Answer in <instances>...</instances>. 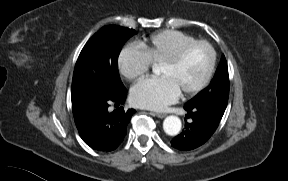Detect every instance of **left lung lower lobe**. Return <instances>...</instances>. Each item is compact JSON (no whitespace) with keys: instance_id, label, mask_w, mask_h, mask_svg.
<instances>
[{"instance_id":"left-lung-lower-lobe-1","label":"left lung lower lobe","mask_w":288,"mask_h":181,"mask_svg":"<svg viewBox=\"0 0 288 181\" xmlns=\"http://www.w3.org/2000/svg\"><path fill=\"white\" fill-rule=\"evenodd\" d=\"M184 108L192 122H186L185 129L173 138L171 145L179 150L188 151L203 145L212 136L223 114L205 106L185 105Z\"/></svg>"}]
</instances>
